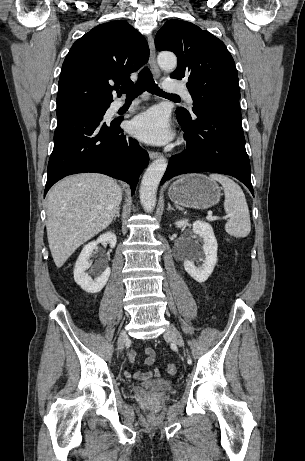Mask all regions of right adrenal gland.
Instances as JSON below:
<instances>
[{
    "label": "right adrenal gland",
    "mask_w": 305,
    "mask_h": 461,
    "mask_svg": "<svg viewBox=\"0 0 305 461\" xmlns=\"http://www.w3.org/2000/svg\"><path fill=\"white\" fill-rule=\"evenodd\" d=\"M120 209H121L120 206H118L117 209H116L115 215L113 217L114 221L116 220V218L120 217Z\"/></svg>",
    "instance_id": "obj_1"
}]
</instances>
